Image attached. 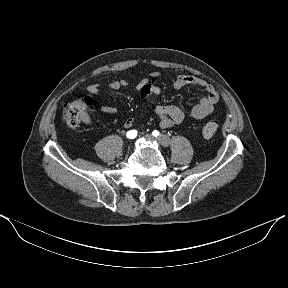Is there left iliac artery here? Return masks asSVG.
<instances>
[{"instance_id":"left-iliac-artery-1","label":"left iliac artery","mask_w":288,"mask_h":288,"mask_svg":"<svg viewBox=\"0 0 288 288\" xmlns=\"http://www.w3.org/2000/svg\"><path fill=\"white\" fill-rule=\"evenodd\" d=\"M152 135L155 136V137H158V136L160 135V133H159V131L154 130V131L152 132Z\"/></svg>"}]
</instances>
